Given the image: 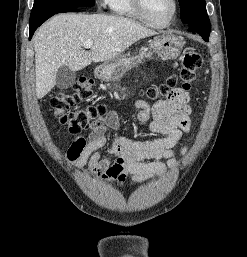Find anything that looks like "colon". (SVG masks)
Listing matches in <instances>:
<instances>
[{
  "label": "colon",
  "instance_id": "obj_1",
  "mask_svg": "<svg viewBox=\"0 0 247 257\" xmlns=\"http://www.w3.org/2000/svg\"><path fill=\"white\" fill-rule=\"evenodd\" d=\"M201 65V56L192 48H187L179 74L183 90L188 91L191 88L195 73ZM177 83L178 79L172 76L165 86L159 89H150L147 94L150 98L157 99L175 87ZM92 95V81L85 78L79 79L70 92L59 93L51 98L50 104L55 118L71 133H78L90 128L94 122L106 115L107 106L104 104L89 105L83 108H74V106L81 101L90 99Z\"/></svg>",
  "mask_w": 247,
  "mask_h": 257
}]
</instances>
